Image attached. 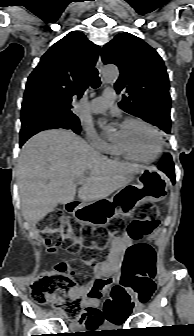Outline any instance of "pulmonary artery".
Here are the masks:
<instances>
[{
    "label": "pulmonary artery",
    "instance_id": "obj_1",
    "mask_svg": "<svg viewBox=\"0 0 194 336\" xmlns=\"http://www.w3.org/2000/svg\"><path fill=\"white\" fill-rule=\"evenodd\" d=\"M115 97V92L112 89H106L102 96L93 99L88 104V108L93 113L103 112L107 110L111 104H113Z\"/></svg>",
    "mask_w": 194,
    "mask_h": 336
}]
</instances>
